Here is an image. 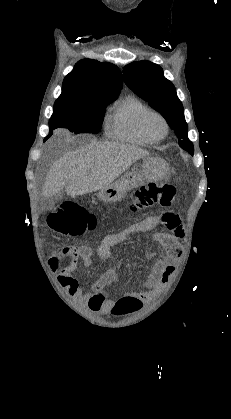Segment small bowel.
I'll list each match as a JSON object with an SVG mask.
<instances>
[{
	"mask_svg": "<svg viewBox=\"0 0 231 419\" xmlns=\"http://www.w3.org/2000/svg\"><path fill=\"white\" fill-rule=\"evenodd\" d=\"M163 224L164 232L154 235V240L159 243L161 253L151 269L147 279L144 281L141 290H128L126 295L137 297L141 302L149 301L155 294L161 291L170 281L175 272L174 263L182 255V241L184 230L181 226V218L178 213L166 212L162 215L148 216L123 231L110 234L103 238L97 248V255L102 261H107L111 255V250L128 235L137 232H146L154 229L158 224ZM62 254L70 257V262L61 267V264L54 257L50 259L49 266L58 272L57 282L71 297L77 298L85 304L91 311L108 313L115 305V300L108 298L105 293L107 286L111 285L116 279V269L108 267L101 277L92 285L91 290L84 293L78 280L73 276V272L79 261L85 266L92 264L93 249L87 245L77 247H66Z\"/></svg>",
	"mask_w": 231,
	"mask_h": 419,
	"instance_id": "c3829d8e",
	"label": "small bowel"
}]
</instances>
